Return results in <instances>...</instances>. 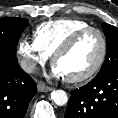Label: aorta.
<instances>
[{
  "mask_svg": "<svg viewBox=\"0 0 118 118\" xmlns=\"http://www.w3.org/2000/svg\"><path fill=\"white\" fill-rule=\"evenodd\" d=\"M51 99L58 106H64L68 102L67 93L61 89L52 91Z\"/></svg>",
  "mask_w": 118,
  "mask_h": 118,
  "instance_id": "aorta-1",
  "label": "aorta"
}]
</instances>
